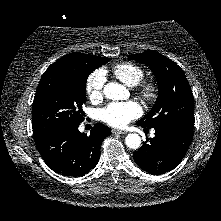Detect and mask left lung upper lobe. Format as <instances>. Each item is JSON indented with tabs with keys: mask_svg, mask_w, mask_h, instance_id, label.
<instances>
[{
	"mask_svg": "<svg viewBox=\"0 0 221 221\" xmlns=\"http://www.w3.org/2000/svg\"><path fill=\"white\" fill-rule=\"evenodd\" d=\"M129 57L149 66L158 83V97L152 110L136 124L147 128L173 127L193 133L194 97L183 70L155 51Z\"/></svg>",
	"mask_w": 221,
	"mask_h": 221,
	"instance_id": "obj_1",
	"label": "left lung upper lobe"
}]
</instances>
